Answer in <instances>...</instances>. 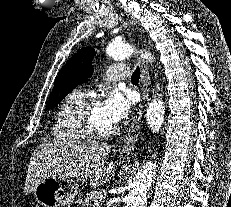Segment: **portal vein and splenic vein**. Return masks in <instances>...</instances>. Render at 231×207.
I'll return each mask as SVG.
<instances>
[{
  "label": "portal vein and splenic vein",
  "mask_w": 231,
  "mask_h": 207,
  "mask_svg": "<svg viewBox=\"0 0 231 207\" xmlns=\"http://www.w3.org/2000/svg\"><path fill=\"white\" fill-rule=\"evenodd\" d=\"M100 206H101L100 203H98V202L95 203V207H100Z\"/></svg>",
  "instance_id": "18ae733b"
}]
</instances>
